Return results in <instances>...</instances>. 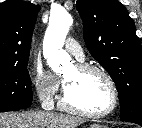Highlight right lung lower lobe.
I'll return each mask as SVG.
<instances>
[{"instance_id":"98d812e1","label":"right lung lower lobe","mask_w":142,"mask_h":128,"mask_svg":"<svg viewBox=\"0 0 142 128\" xmlns=\"http://www.w3.org/2000/svg\"><path fill=\"white\" fill-rule=\"evenodd\" d=\"M21 108H0V112H7V111H16Z\"/></svg>"}]
</instances>
